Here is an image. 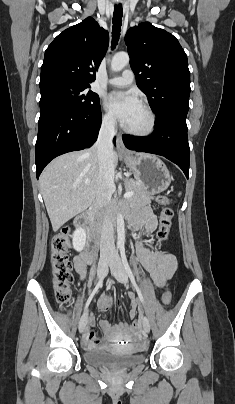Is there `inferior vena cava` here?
Returning a JSON list of instances; mask_svg holds the SVG:
<instances>
[{"mask_svg": "<svg viewBox=\"0 0 235 404\" xmlns=\"http://www.w3.org/2000/svg\"><path fill=\"white\" fill-rule=\"evenodd\" d=\"M116 120L108 117L103 120L98 139L93 146L99 164V182L96 201L103 211V224L100 240V255H112L115 251L113 239V224L106 209L114 190V161L112 140L115 135Z\"/></svg>", "mask_w": 235, "mask_h": 404, "instance_id": "1", "label": "inferior vena cava"}]
</instances>
